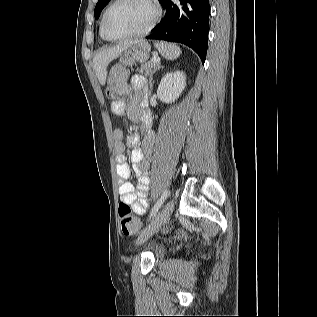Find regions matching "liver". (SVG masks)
I'll return each mask as SVG.
<instances>
[{
  "instance_id": "obj_1",
  "label": "liver",
  "mask_w": 317,
  "mask_h": 317,
  "mask_svg": "<svg viewBox=\"0 0 317 317\" xmlns=\"http://www.w3.org/2000/svg\"><path fill=\"white\" fill-rule=\"evenodd\" d=\"M134 43L136 42L130 41L120 43L113 47L101 49L94 55V69L101 85H105L107 78V66L109 63L116 59L123 51L128 49Z\"/></svg>"
}]
</instances>
